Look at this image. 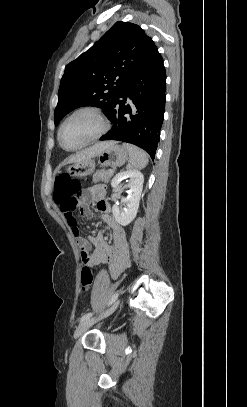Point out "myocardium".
<instances>
[{
  "label": "myocardium",
  "instance_id": "1",
  "mask_svg": "<svg viewBox=\"0 0 247 407\" xmlns=\"http://www.w3.org/2000/svg\"><path fill=\"white\" fill-rule=\"evenodd\" d=\"M81 113H87V114L93 115V116L99 121V123H100V125H101V128H100V130L98 131L97 134H95L93 137H91L90 139H88L86 142H84V143L81 144L80 146L75 147V148H71V149L65 148V147L62 145V143H61V132H62V129H63L64 125L66 124V122H67L69 119H71V118L74 117L75 115L81 114ZM109 129H110V123H109V121L107 120V118L105 117V115L102 113L101 110H99V109H97V108H95V107H90V106L80 107V108H77V109L73 110L70 114H68V115L63 119V121L60 123L59 128H58V131H57V140H58L59 146H60L63 150L68 151V152L78 151V150L83 149V148H85L86 146H88V145H90V144L96 142V141L99 140L100 138H102V137L109 131Z\"/></svg>",
  "mask_w": 247,
  "mask_h": 407
}]
</instances>
